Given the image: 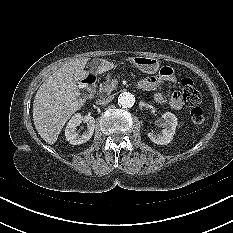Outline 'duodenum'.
I'll return each instance as SVG.
<instances>
[{
  "instance_id": "1",
  "label": "duodenum",
  "mask_w": 233,
  "mask_h": 233,
  "mask_svg": "<svg viewBox=\"0 0 233 233\" xmlns=\"http://www.w3.org/2000/svg\"><path fill=\"white\" fill-rule=\"evenodd\" d=\"M96 82H97V77L94 74H88L84 79H83V84H84V88L85 91L87 93V95L89 97H92L94 95L95 92V87H96ZM136 86L139 89H143L144 90V85L143 83L140 81L136 84Z\"/></svg>"
}]
</instances>
